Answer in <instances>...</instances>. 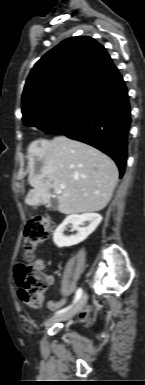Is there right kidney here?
I'll list each match as a JSON object with an SVG mask.
<instances>
[{
	"label": "right kidney",
	"mask_w": 145,
	"mask_h": 385,
	"mask_svg": "<svg viewBox=\"0 0 145 385\" xmlns=\"http://www.w3.org/2000/svg\"><path fill=\"white\" fill-rule=\"evenodd\" d=\"M102 216L98 213H85L81 215L72 214L67 216L64 221L57 227L53 234V241L59 248L70 247L84 241L100 224ZM84 222H89L87 227H80ZM72 224L77 234L65 236L66 227Z\"/></svg>",
	"instance_id": "right-kidney-1"
}]
</instances>
